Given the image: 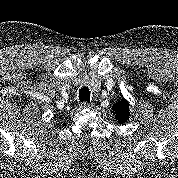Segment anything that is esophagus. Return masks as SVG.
<instances>
[{
    "label": "esophagus",
    "instance_id": "34e87169",
    "mask_svg": "<svg viewBox=\"0 0 178 178\" xmlns=\"http://www.w3.org/2000/svg\"><path fill=\"white\" fill-rule=\"evenodd\" d=\"M93 106L92 103H88L86 101L81 102L80 108H91Z\"/></svg>",
    "mask_w": 178,
    "mask_h": 178
}]
</instances>
